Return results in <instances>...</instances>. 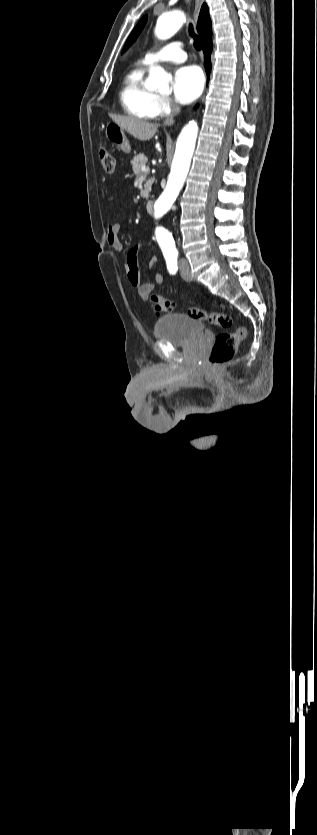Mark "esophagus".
<instances>
[{"mask_svg":"<svg viewBox=\"0 0 317 835\" xmlns=\"http://www.w3.org/2000/svg\"><path fill=\"white\" fill-rule=\"evenodd\" d=\"M204 0H195L194 19L197 21Z\"/></svg>","mask_w":317,"mask_h":835,"instance_id":"34e87169","label":"esophagus"}]
</instances>
